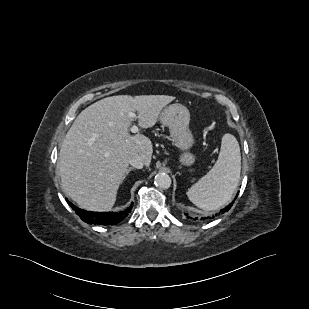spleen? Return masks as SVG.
I'll use <instances>...</instances> for the list:
<instances>
[{"mask_svg": "<svg viewBox=\"0 0 309 309\" xmlns=\"http://www.w3.org/2000/svg\"><path fill=\"white\" fill-rule=\"evenodd\" d=\"M241 172V153L232 134L222 137L221 149L213 168L187 191L189 200L204 210H216L228 203Z\"/></svg>", "mask_w": 309, "mask_h": 309, "instance_id": "spleen-1", "label": "spleen"}]
</instances>
